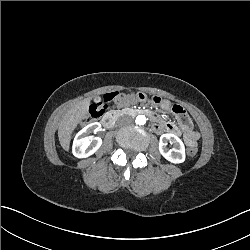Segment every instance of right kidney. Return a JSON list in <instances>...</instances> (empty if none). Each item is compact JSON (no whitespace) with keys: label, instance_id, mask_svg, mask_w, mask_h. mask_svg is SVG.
<instances>
[{"label":"right kidney","instance_id":"ca27d5eb","mask_svg":"<svg viewBox=\"0 0 250 250\" xmlns=\"http://www.w3.org/2000/svg\"><path fill=\"white\" fill-rule=\"evenodd\" d=\"M101 130L99 122H93L82 128L75 136L72 145V153L78 158H85L93 154L102 144V139L98 136H88L91 132Z\"/></svg>","mask_w":250,"mask_h":250}]
</instances>
